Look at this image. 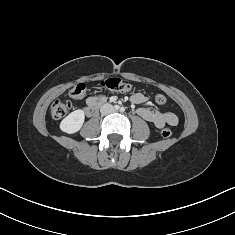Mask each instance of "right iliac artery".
Segmentation results:
<instances>
[{
	"mask_svg": "<svg viewBox=\"0 0 235 235\" xmlns=\"http://www.w3.org/2000/svg\"><path fill=\"white\" fill-rule=\"evenodd\" d=\"M114 108H115L116 110H118V109H119V105H115Z\"/></svg>",
	"mask_w": 235,
	"mask_h": 235,
	"instance_id": "right-iliac-artery-1",
	"label": "right iliac artery"
}]
</instances>
